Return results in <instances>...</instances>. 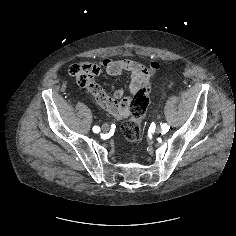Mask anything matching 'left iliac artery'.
<instances>
[{
    "mask_svg": "<svg viewBox=\"0 0 236 236\" xmlns=\"http://www.w3.org/2000/svg\"><path fill=\"white\" fill-rule=\"evenodd\" d=\"M161 128H162L163 131H167L169 129V126L166 123H163L161 125Z\"/></svg>",
    "mask_w": 236,
    "mask_h": 236,
    "instance_id": "1",
    "label": "left iliac artery"
}]
</instances>
